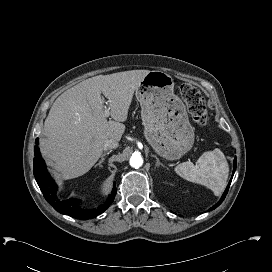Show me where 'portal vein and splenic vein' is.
I'll return each instance as SVG.
<instances>
[{
    "mask_svg": "<svg viewBox=\"0 0 272 272\" xmlns=\"http://www.w3.org/2000/svg\"><path fill=\"white\" fill-rule=\"evenodd\" d=\"M110 114V109L108 107L105 106V109H104V116L105 117H108Z\"/></svg>",
    "mask_w": 272,
    "mask_h": 272,
    "instance_id": "18ae733b",
    "label": "portal vein and splenic vein"
}]
</instances>
